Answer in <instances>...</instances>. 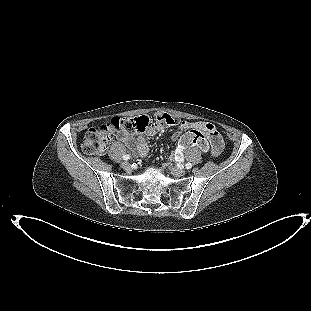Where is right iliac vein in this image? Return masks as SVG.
<instances>
[{
    "mask_svg": "<svg viewBox=\"0 0 311 311\" xmlns=\"http://www.w3.org/2000/svg\"><path fill=\"white\" fill-rule=\"evenodd\" d=\"M121 166H122V168H124V169H128V168L130 167V163L127 162V161H124V162L121 163Z\"/></svg>",
    "mask_w": 311,
    "mask_h": 311,
    "instance_id": "right-iliac-vein-1",
    "label": "right iliac vein"
}]
</instances>
